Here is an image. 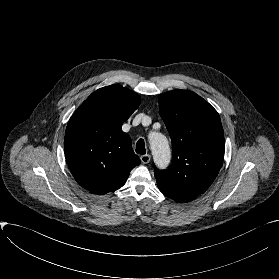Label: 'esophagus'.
Here are the masks:
<instances>
[{"label": "esophagus", "instance_id": "34e87169", "mask_svg": "<svg viewBox=\"0 0 279 279\" xmlns=\"http://www.w3.org/2000/svg\"><path fill=\"white\" fill-rule=\"evenodd\" d=\"M140 159H141V162H142L143 164H147V163H149V161L151 160V156H150L149 154H145V155H142V156L140 157Z\"/></svg>", "mask_w": 279, "mask_h": 279}]
</instances>
